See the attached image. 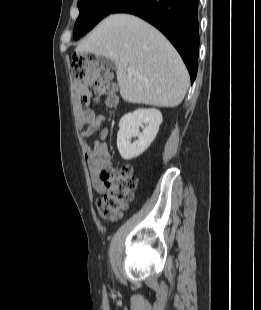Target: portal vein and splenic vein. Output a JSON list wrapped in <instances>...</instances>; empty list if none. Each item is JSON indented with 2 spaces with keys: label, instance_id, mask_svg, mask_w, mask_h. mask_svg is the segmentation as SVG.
I'll list each match as a JSON object with an SVG mask.
<instances>
[{
  "label": "portal vein and splenic vein",
  "instance_id": "obj_1",
  "mask_svg": "<svg viewBox=\"0 0 261 310\" xmlns=\"http://www.w3.org/2000/svg\"><path fill=\"white\" fill-rule=\"evenodd\" d=\"M127 71L129 74H132L135 72V70L132 67H128Z\"/></svg>",
  "mask_w": 261,
  "mask_h": 310
}]
</instances>
